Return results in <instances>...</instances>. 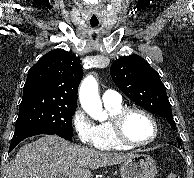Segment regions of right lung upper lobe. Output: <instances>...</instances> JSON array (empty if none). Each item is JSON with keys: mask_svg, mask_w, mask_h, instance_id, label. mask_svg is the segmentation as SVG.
I'll list each match as a JSON object with an SVG mask.
<instances>
[{"mask_svg": "<svg viewBox=\"0 0 194 178\" xmlns=\"http://www.w3.org/2000/svg\"><path fill=\"white\" fill-rule=\"evenodd\" d=\"M82 77L79 57L63 49L52 50L30 68L22 100L53 98L77 104Z\"/></svg>", "mask_w": 194, "mask_h": 178, "instance_id": "cb5924a9", "label": "right lung upper lobe"}]
</instances>
